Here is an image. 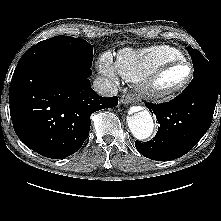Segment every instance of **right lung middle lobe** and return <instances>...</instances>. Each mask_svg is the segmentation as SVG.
Segmentation results:
<instances>
[{"label": "right lung middle lobe", "mask_w": 221, "mask_h": 221, "mask_svg": "<svg viewBox=\"0 0 221 221\" xmlns=\"http://www.w3.org/2000/svg\"><path fill=\"white\" fill-rule=\"evenodd\" d=\"M74 63L90 67L93 60V47L87 41L70 36H55L34 45Z\"/></svg>", "instance_id": "obj_1"}]
</instances>
